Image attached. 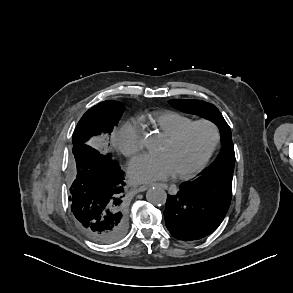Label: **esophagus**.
<instances>
[{
  "label": "esophagus",
  "mask_w": 293,
  "mask_h": 293,
  "mask_svg": "<svg viewBox=\"0 0 293 293\" xmlns=\"http://www.w3.org/2000/svg\"><path fill=\"white\" fill-rule=\"evenodd\" d=\"M157 186H160L161 188L163 189H167L168 188V185L167 184H163V183H160V184H155ZM151 185L147 186V185H143V186H140L137 188V192H143L145 190H147Z\"/></svg>",
  "instance_id": "obj_1"
}]
</instances>
